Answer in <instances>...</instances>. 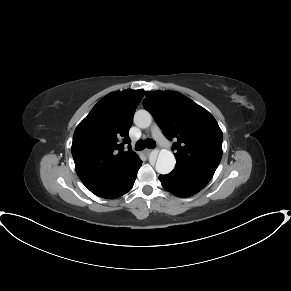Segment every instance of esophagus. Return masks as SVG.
Instances as JSON below:
<instances>
[{"label": "esophagus", "mask_w": 291, "mask_h": 291, "mask_svg": "<svg viewBox=\"0 0 291 291\" xmlns=\"http://www.w3.org/2000/svg\"><path fill=\"white\" fill-rule=\"evenodd\" d=\"M151 151H152L151 149H147L146 148V149L143 150V153L146 154V155H148V154L151 153Z\"/></svg>", "instance_id": "esophagus-1"}]
</instances>
